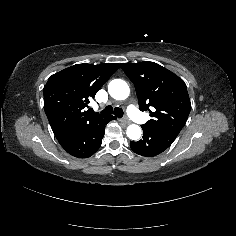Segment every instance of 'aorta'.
I'll use <instances>...</instances> for the list:
<instances>
[{"instance_id":"1","label":"aorta","mask_w":236,"mask_h":236,"mask_svg":"<svg viewBox=\"0 0 236 236\" xmlns=\"http://www.w3.org/2000/svg\"><path fill=\"white\" fill-rule=\"evenodd\" d=\"M108 93L114 99L123 100L129 95V86L124 80L114 79L108 84ZM126 135L129 139L138 141L141 138L142 130L138 125H129Z\"/></svg>"}]
</instances>
